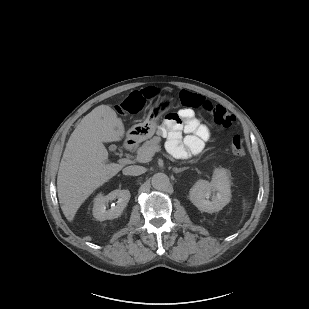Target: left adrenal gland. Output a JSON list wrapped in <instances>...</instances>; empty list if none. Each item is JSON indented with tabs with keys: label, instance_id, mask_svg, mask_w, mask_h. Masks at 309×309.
Instances as JSON below:
<instances>
[{
	"label": "left adrenal gland",
	"instance_id": "obj_1",
	"mask_svg": "<svg viewBox=\"0 0 309 309\" xmlns=\"http://www.w3.org/2000/svg\"><path fill=\"white\" fill-rule=\"evenodd\" d=\"M187 169H188V167L173 168V171H174L175 173H179V172H182V171L187 170Z\"/></svg>",
	"mask_w": 309,
	"mask_h": 309
}]
</instances>
